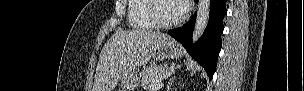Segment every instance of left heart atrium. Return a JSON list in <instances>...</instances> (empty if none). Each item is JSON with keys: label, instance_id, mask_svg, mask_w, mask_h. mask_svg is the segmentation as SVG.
I'll return each mask as SVG.
<instances>
[{"label": "left heart atrium", "instance_id": "left-heart-atrium-1", "mask_svg": "<svg viewBox=\"0 0 304 91\" xmlns=\"http://www.w3.org/2000/svg\"><path fill=\"white\" fill-rule=\"evenodd\" d=\"M180 3L182 4L183 11L187 10L189 1H187V0H181Z\"/></svg>", "mask_w": 304, "mask_h": 91}]
</instances>
